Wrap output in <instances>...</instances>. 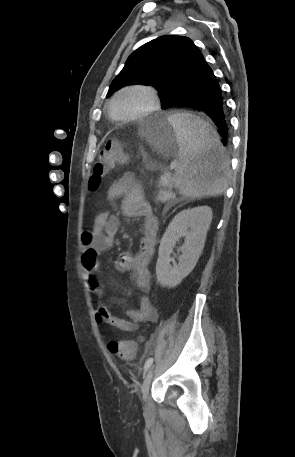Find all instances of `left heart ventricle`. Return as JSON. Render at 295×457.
<instances>
[{"mask_svg":"<svg viewBox=\"0 0 295 457\" xmlns=\"http://www.w3.org/2000/svg\"><path fill=\"white\" fill-rule=\"evenodd\" d=\"M149 104L147 96L139 91L120 95L114 103V112L119 117H128L144 110Z\"/></svg>","mask_w":295,"mask_h":457,"instance_id":"left-heart-ventricle-1","label":"left heart ventricle"}]
</instances>
